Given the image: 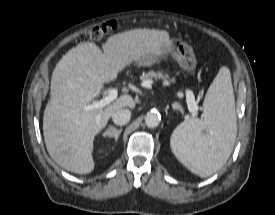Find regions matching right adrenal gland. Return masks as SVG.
I'll list each match as a JSON object with an SVG mask.
<instances>
[{
    "label": "right adrenal gland",
    "instance_id": "1",
    "mask_svg": "<svg viewBox=\"0 0 275 215\" xmlns=\"http://www.w3.org/2000/svg\"><path fill=\"white\" fill-rule=\"evenodd\" d=\"M121 132H122V128L116 129V128L113 127V126H110V127L107 129V131H105V132L103 133V136H104V137L108 136V137H110V138L114 137V138H115V141H117L118 138H119V136H120V134H121Z\"/></svg>",
    "mask_w": 275,
    "mask_h": 215
}]
</instances>
